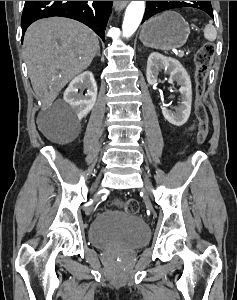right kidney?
<instances>
[{
	"mask_svg": "<svg viewBox=\"0 0 237 300\" xmlns=\"http://www.w3.org/2000/svg\"><path fill=\"white\" fill-rule=\"evenodd\" d=\"M79 89L80 93H78ZM84 89H87L86 95H82ZM96 97L97 85L93 73L84 71V73H81V75H78V77H75V79L71 81L64 93L63 99L66 103L71 105L78 119H83V117H86L91 109H93L96 103Z\"/></svg>",
	"mask_w": 237,
	"mask_h": 300,
	"instance_id": "ca27d5eb",
	"label": "right kidney"
}]
</instances>
